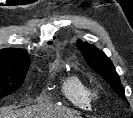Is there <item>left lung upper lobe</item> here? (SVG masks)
Segmentation results:
<instances>
[{
	"label": "left lung upper lobe",
	"mask_w": 133,
	"mask_h": 118,
	"mask_svg": "<svg viewBox=\"0 0 133 118\" xmlns=\"http://www.w3.org/2000/svg\"><path fill=\"white\" fill-rule=\"evenodd\" d=\"M77 47L87 64L100 74L120 97L126 99L120 78L111 60L101 50L87 42L77 41Z\"/></svg>",
	"instance_id": "left-lung-upper-lobe-1"
}]
</instances>
